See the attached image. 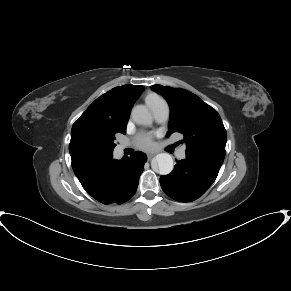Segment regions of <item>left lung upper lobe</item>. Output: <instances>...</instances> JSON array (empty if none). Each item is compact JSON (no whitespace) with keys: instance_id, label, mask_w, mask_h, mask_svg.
<instances>
[{"instance_id":"1","label":"left lung upper lobe","mask_w":291,"mask_h":291,"mask_svg":"<svg viewBox=\"0 0 291 291\" xmlns=\"http://www.w3.org/2000/svg\"><path fill=\"white\" fill-rule=\"evenodd\" d=\"M170 104L169 131L184 135L186 152L224 159L227 134L215 109L197 95L181 88L151 86Z\"/></svg>"}]
</instances>
